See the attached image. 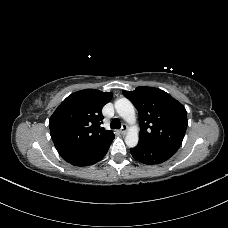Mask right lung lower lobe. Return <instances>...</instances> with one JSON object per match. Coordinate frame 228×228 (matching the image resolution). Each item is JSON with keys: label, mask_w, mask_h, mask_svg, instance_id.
Here are the masks:
<instances>
[{"label": "right lung lower lobe", "mask_w": 228, "mask_h": 228, "mask_svg": "<svg viewBox=\"0 0 228 228\" xmlns=\"http://www.w3.org/2000/svg\"><path fill=\"white\" fill-rule=\"evenodd\" d=\"M114 137L87 150L69 153L62 158L74 166H88L99 162L107 153Z\"/></svg>", "instance_id": "obj_1"}]
</instances>
